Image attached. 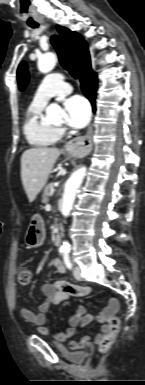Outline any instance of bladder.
<instances>
[{
    "instance_id": "31cf9c89",
    "label": "bladder",
    "mask_w": 145,
    "mask_h": 385,
    "mask_svg": "<svg viewBox=\"0 0 145 385\" xmlns=\"http://www.w3.org/2000/svg\"><path fill=\"white\" fill-rule=\"evenodd\" d=\"M70 356L75 358L78 361H82L85 358V354L83 352H77V353L70 355Z\"/></svg>"
}]
</instances>
